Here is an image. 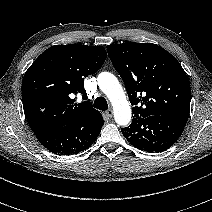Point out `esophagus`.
Listing matches in <instances>:
<instances>
[{"label":"esophagus","instance_id":"obj_1","mask_svg":"<svg viewBox=\"0 0 212 212\" xmlns=\"http://www.w3.org/2000/svg\"><path fill=\"white\" fill-rule=\"evenodd\" d=\"M106 115H107L108 117H112V116H113V110H112V109L107 110V111H106Z\"/></svg>","mask_w":212,"mask_h":212}]
</instances>
